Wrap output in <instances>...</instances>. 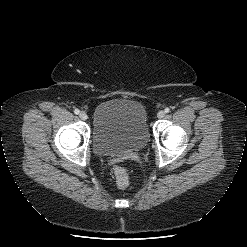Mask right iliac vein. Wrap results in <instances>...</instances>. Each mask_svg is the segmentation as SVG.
Listing matches in <instances>:
<instances>
[{"label":"right iliac vein","instance_id":"right-iliac-vein-1","mask_svg":"<svg viewBox=\"0 0 247 247\" xmlns=\"http://www.w3.org/2000/svg\"><path fill=\"white\" fill-rule=\"evenodd\" d=\"M79 117H80L82 120H87V118H88L86 112H84V111H81V112H80Z\"/></svg>","mask_w":247,"mask_h":247}]
</instances>
